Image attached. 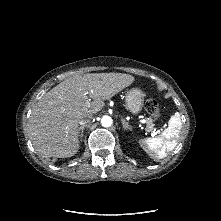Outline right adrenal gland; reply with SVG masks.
I'll return each mask as SVG.
<instances>
[{
  "mask_svg": "<svg viewBox=\"0 0 221 221\" xmlns=\"http://www.w3.org/2000/svg\"><path fill=\"white\" fill-rule=\"evenodd\" d=\"M85 128H86V125H83V126L79 127V136H80L81 141H82V138H83V132H84Z\"/></svg>",
  "mask_w": 221,
  "mask_h": 221,
  "instance_id": "obj_1",
  "label": "right adrenal gland"
}]
</instances>
